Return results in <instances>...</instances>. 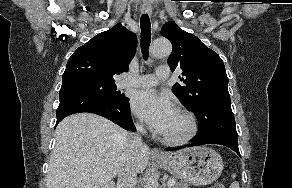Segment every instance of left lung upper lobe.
I'll return each mask as SVG.
<instances>
[{"instance_id":"obj_1","label":"left lung upper lobe","mask_w":292,"mask_h":188,"mask_svg":"<svg viewBox=\"0 0 292 188\" xmlns=\"http://www.w3.org/2000/svg\"><path fill=\"white\" fill-rule=\"evenodd\" d=\"M161 34L173 46L168 58L171 70H183L182 84L176 83L173 93L194 112L199 121V131L234 117L227 89L228 77L219 55L174 22L166 23Z\"/></svg>"}]
</instances>
